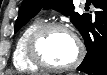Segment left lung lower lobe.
Returning <instances> with one entry per match:
<instances>
[{
  "label": "left lung lower lobe",
  "instance_id": "obj_1",
  "mask_svg": "<svg viewBox=\"0 0 107 75\" xmlns=\"http://www.w3.org/2000/svg\"><path fill=\"white\" fill-rule=\"evenodd\" d=\"M92 2L97 8L95 23L88 20L81 31L88 52L77 70L89 75H107V0Z\"/></svg>",
  "mask_w": 107,
  "mask_h": 75
}]
</instances>
